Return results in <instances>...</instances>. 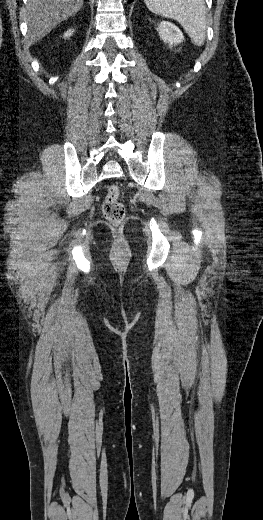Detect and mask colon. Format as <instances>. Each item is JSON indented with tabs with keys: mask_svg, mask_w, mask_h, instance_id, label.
Segmentation results:
<instances>
[{
	"mask_svg": "<svg viewBox=\"0 0 263 520\" xmlns=\"http://www.w3.org/2000/svg\"><path fill=\"white\" fill-rule=\"evenodd\" d=\"M104 217L114 224L121 223L126 216V209L120 200V188L118 185H111L102 204Z\"/></svg>",
	"mask_w": 263,
	"mask_h": 520,
	"instance_id": "5ec220e1",
	"label": "colon"
}]
</instances>
